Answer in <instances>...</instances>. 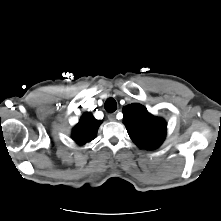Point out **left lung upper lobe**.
<instances>
[{"label": "left lung upper lobe", "instance_id": "5c2ea615", "mask_svg": "<svg viewBox=\"0 0 221 221\" xmlns=\"http://www.w3.org/2000/svg\"><path fill=\"white\" fill-rule=\"evenodd\" d=\"M124 120L130 138L143 149L152 150L161 145L166 135V123L140 104L123 108Z\"/></svg>", "mask_w": 221, "mask_h": 221}]
</instances>
